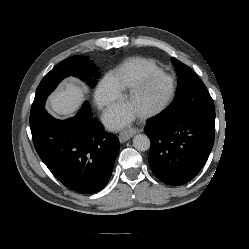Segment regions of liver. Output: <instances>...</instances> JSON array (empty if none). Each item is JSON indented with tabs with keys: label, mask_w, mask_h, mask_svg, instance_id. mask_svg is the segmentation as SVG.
<instances>
[{
	"label": "liver",
	"mask_w": 249,
	"mask_h": 249,
	"mask_svg": "<svg viewBox=\"0 0 249 249\" xmlns=\"http://www.w3.org/2000/svg\"><path fill=\"white\" fill-rule=\"evenodd\" d=\"M85 91L73 81L63 84L49 98L48 110L54 115L71 116L73 115L84 100Z\"/></svg>",
	"instance_id": "obj_1"
}]
</instances>
